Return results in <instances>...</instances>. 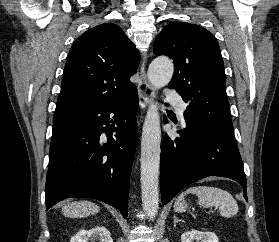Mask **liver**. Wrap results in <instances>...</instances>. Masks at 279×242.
Listing matches in <instances>:
<instances>
[{
  "label": "liver",
  "mask_w": 279,
  "mask_h": 242,
  "mask_svg": "<svg viewBox=\"0 0 279 242\" xmlns=\"http://www.w3.org/2000/svg\"><path fill=\"white\" fill-rule=\"evenodd\" d=\"M99 210V206L90 201H75L65 205L62 208V213L64 216L77 218L87 217L89 215L98 213Z\"/></svg>",
  "instance_id": "1"
}]
</instances>
